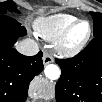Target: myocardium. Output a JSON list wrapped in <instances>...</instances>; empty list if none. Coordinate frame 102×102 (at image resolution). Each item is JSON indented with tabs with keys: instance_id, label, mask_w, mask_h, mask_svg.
Returning <instances> with one entry per match:
<instances>
[{
	"instance_id": "1",
	"label": "myocardium",
	"mask_w": 102,
	"mask_h": 102,
	"mask_svg": "<svg viewBox=\"0 0 102 102\" xmlns=\"http://www.w3.org/2000/svg\"><path fill=\"white\" fill-rule=\"evenodd\" d=\"M80 24L86 25V34L85 36L76 44L71 45V37L76 29V27ZM90 36V25L86 21H77L72 24L68 29H66L57 39H55V49L58 53L65 57H72L79 53L83 47L86 45L88 38Z\"/></svg>"
}]
</instances>
